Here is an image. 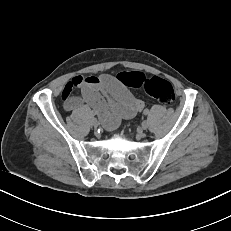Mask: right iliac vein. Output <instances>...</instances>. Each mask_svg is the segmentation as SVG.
<instances>
[{"instance_id":"right-iliac-vein-1","label":"right iliac vein","mask_w":231,"mask_h":231,"mask_svg":"<svg viewBox=\"0 0 231 231\" xmlns=\"http://www.w3.org/2000/svg\"><path fill=\"white\" fill-rule=\"evenodd\" d=\"M98 124L99 123H98L97 119L93 118L92 119V125H93V127H95V128L98 127Z\"/></svg>"}]
</instances>
